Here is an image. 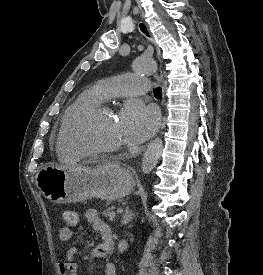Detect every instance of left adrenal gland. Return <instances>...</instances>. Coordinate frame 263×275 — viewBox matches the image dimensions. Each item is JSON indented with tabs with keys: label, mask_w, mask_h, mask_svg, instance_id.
<instances>
[{
	"label": "left adrenal gland",
	"mask_w": 263,
	"mask_h": 275,
	"mask_svg": "<svg viewBox=\"0 0 263 275\" xmlns=\"http://www.w3.org/2000/svg\"><path fill=\"white\" fill-rule=\"evenodd\" d=\"M136 215L129 209V207L127 206L125 208V213L123 215L122 218V225H126L129 222H131V220L135 217Z\"/></svg>",
	"instance_id": "a2214340"
}]
</instances>
